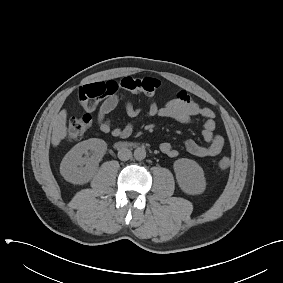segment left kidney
I'll list each match as a JSON object with an SVG mask.
<instances>
[{
	"mask_svg": "<svg viewBox=\"0 0 283 283\" xmlns=\"http://www.w3.org/2000/svg\"><path fill=\"white\" fill-rule=\"evenodd\" d=\"M173 167L177 182L185 193L197 195L204 192L206 188L204 171L197 162L181 158L174 162Z\"/></svg>",
	"mask_w": 283,
	"mask_h": 283,
	"instance_id": "left-kidney-1",
	"label": "left kidney"
}]
</instances>
